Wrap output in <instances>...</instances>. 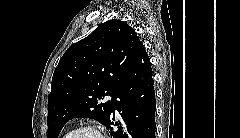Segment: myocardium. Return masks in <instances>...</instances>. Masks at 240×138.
Segmentation results:
<instances>
[{"label": "myocardium", "mask_w": 240, "mask_h": 138, "mask_svg": "<svg viewBox=\"0 0 240 138\" xmlns=\"http://www.w3.org/2000/svg\"><path fill=\"white\" fill-rule=\"evenodd\" d=\"M84 131H91L96 133L98 138H105L103 132L96 125L92 124L82 125L76 128L73 132L70 133L68 138H77V136Z\"/></svg>", "instance_id": "myocardium-1"}]
</instances>
